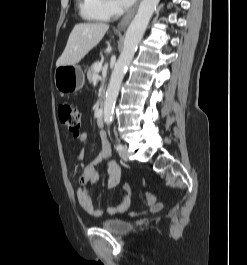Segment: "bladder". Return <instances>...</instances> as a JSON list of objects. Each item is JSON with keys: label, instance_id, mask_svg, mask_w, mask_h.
Instances as JSON below:
<instances>
[{"label": "bladder", "instance_id": "bladder-1", "mask_svg": "<svg viewBox=\"0 0 247 265\" xmlns=\"http://www.w3.org/2000/svg\"><path fill=\"white\" fill-rule=\"evenodd\" d=\"M98 225L111 233L123 235L133 229V224L123 219H105L98 222Z\"/></svg>", "mask_w": 247, "mask_h": 265}]
</instances>
